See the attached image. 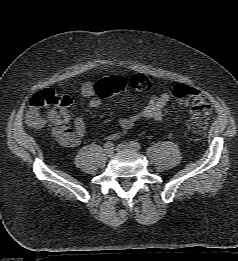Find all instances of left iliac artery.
Instances as JSON below:
<instances>
[{
	"instance_id": "1",
	"label": "left iliac artery",
	"mask_w": 238,
	"mask_h": 261,
	"mask_svg": "<svg viewBox=\"0 0 238 261\" xmlns=\"http://www.w3.org/2000/svg\"><path fill=\"white\" fill-rule=\"evenodd\" d=\"M130 145H131L134 149H136V150H140V149H141V145H140L138 142H136V141H131V142H130Z\"/></svg>"
}]
</instances>
